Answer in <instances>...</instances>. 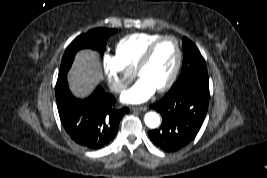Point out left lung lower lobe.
Masks as SVG:
<instances>
[{"label": "left lung lower lobe", "instance_id": "0a47b994", "mask_svg": "<svg viewBox=\"0 0 267 178\" xmlns=\"http://www.w3.org/2000/svg\"><path fill=\"white\" fill-rule=\"evenodd\" d=\"M209 84L182 83L151 105L162 116L159 128L148 132L152 142L166 152L180 150L199 132L209 106Z\"/></svg>", "mask_w": 267, "mask_h": 178}]
</instances>
